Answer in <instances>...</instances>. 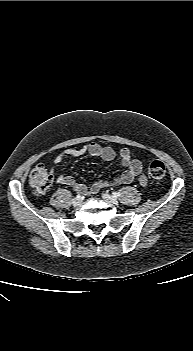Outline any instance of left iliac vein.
Returning a JSON list of instances; mask_svg holds the SVG:
<instances>
[{
  "instance_id": "1",
  "label": "left iliac vein",
  "mask_w": 193,
  "mask_h": 351,
  "mask_svg": "<svg viewBox=\"0 0 193 351\" xmlns=\"http://www.w3.org/2000/svg\"><path fill=\"white\" fill-rule=\"evenodd\" d=\"M102 198H103V200L106 201L107 203H111V204H117V203H118V201H117L116 198H114L112 195L107 194V193H104V194L102 195Z\"/></svg>"
}]
</instances>
